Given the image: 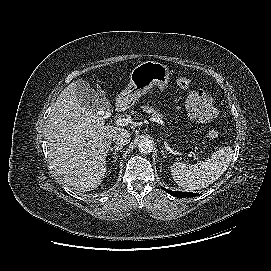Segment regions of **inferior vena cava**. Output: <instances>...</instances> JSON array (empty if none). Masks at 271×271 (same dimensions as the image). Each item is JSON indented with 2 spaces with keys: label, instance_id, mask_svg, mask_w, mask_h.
I'll return each instance as SVG.
<instances>
[{
  "label": "inferior vena cava",
  "instance_id": "inferior-vena-cava-1",
  "mask_svg": "<svg viewBox=\"0 0 271 271\" xmlns=\"http://www.w3.org/2000/svg\"><path fill=\"white\" fill-rule=\"evenodd\" d=\"M112 139L118 146H124L130 142L131 135L127 130L120 129L115 132Z\"/></svg>",
  "mask_w": 271,
  "mask_h": 271
}]
</instances>
